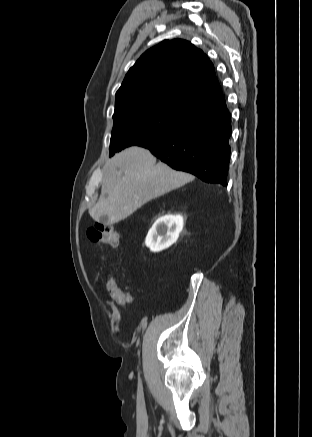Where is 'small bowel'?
I'll use <instances>...</instances> for the list:
<instances>
[{
  "instance_id": "obj_1",
  "label": "small bowel",
  "mask_w": 312,
  "mask_h": 437,
  "mask_svg": "<svg viewBox=\"0 0 312 437\" xmlns=\"http://www.w3.org/2000/svg\"><path fill=\"white\" fill-rule=\"evenodd\" d=\"M108 307L110 310L111 316V327L115 334H119V324H120V311L119 309L111 302H108Z\"/></svg>"
}]
</instances>
